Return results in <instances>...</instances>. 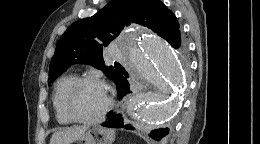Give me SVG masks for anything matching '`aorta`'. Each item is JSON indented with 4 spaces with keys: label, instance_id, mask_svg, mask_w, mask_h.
Segmentation results:
<instances>
[{
    "label": "aorta",
    "instance_id": "obj_1",
    "mask_svg": "<svg viewBox=\"0 0 260 144\" xmlns=\"http://www.w3.org/2000/svg\"><path fill=\"white\" fill-rule=\"evenodd\" d=\"M123 48L132 72L160 90L173 92L171 95L139 93L134 96L129 108L136 123L139 126L157 124L172 117L185 86L184 68L174 49L147 30L128 34Z\"/></svg>",
    "mask_w": 260,
    "mask_h": 144
}]
</instances>
